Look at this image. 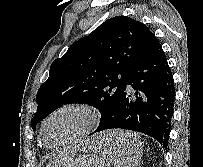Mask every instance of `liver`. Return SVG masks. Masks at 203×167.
Returning a JSON list of instances; mask_svg holds the SVG:
<instances>
[{"label": "liver", "instance_id": "liver-1", "mask_svg": "<svg viewBox=\"0 0 203 167\" xmlns=\"http://www.w3.org/2000/svg\"><path fill=\"white\" fill-rule=\"evenodd\" d=\"M135 138H137V134L131 132L124 131H111L106 135H103L96 144H101L102 142H112L117 141L122 143L124 147H131L134 143ZM73 159V155L61 154L51 160L47 167H68L71 160Z\"/></svg>", "mask_w": 203, "mask_h": 167}]
</instances>
